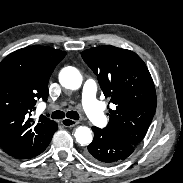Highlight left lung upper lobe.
Returning a JSON list of instances; mask_svg holds the SVG:
<instances>
[{"label": "left lung upper lobe", "instance_id": "left-lung-upper-lobe-1", "mask_svg": "<svg viewBox=\"0 0 183 183\" xmlns=\"http://www.w3.org/2000/svg\"><path fill=\"white\" fill-rule=\"evenodd\" d=\"M81 55L98 77L105 97L115 104L113 110L109 109L110 120L104 129L138 145L157 104L154 83L145 63L130 50L109 45L85 50Z\"/></svg>", "mask_w": 183, "mask_h": 183}]
</instances>
